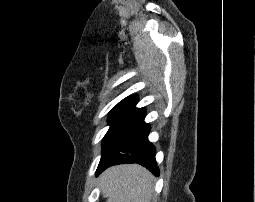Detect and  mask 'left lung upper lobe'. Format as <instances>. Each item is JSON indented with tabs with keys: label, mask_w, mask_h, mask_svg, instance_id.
Listing matches in <instances>:
<instances>
[{
	"label": "left lung upper lobe",
	"mask_w": 255,
	"mask_h": 202,
	"mask_svg": "<svg viewBox=\"0 0 255 202\" xmlns=\"http://www.w3.org/2000/svg\"><path fill=\"white\" fill-rule=\"evenodd\" d=\"M137 96L131 95L119 102L110 112V128L103 138L100 161H109L117 155L127 140L144 124L145 109L136 108Z\"/></svg>",
	"instance_id": "1"
}]
</instances>
